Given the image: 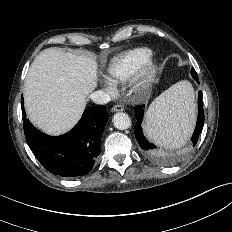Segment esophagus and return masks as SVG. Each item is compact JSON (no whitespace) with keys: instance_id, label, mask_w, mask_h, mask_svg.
<instances>
[{"instance_id":"obj_1","label":"esophagus","mask_w":232,"mask_h":232,"mask_svg":"<svg viewBox=\"0 0 232 232\" xmlns=\"http://www.w3.org/2000/svg\"><path fill=\"white\" fill-rule=\"evenodd\" d=\"M124 110V107L121 104H117L115 106H113L112 108V112H121Z\"/></svg>"}]
</instances>
